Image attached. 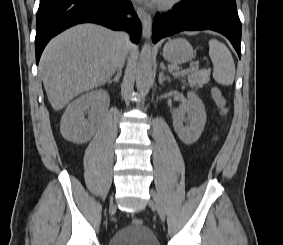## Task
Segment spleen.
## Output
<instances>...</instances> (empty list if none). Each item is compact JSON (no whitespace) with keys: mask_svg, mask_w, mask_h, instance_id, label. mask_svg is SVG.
<instances>
[{"mask_svg":"<svg viewBox=\"0 0 283 245\" xmlns=\"http://www.w3.org/2000/svg\"><path fill=\"white\" fill-rule=\"evenodd\" d=\"M209 56L214 65L213 77L222 85H232L235 77V64L226 45L216 39L209 40Z\"/></svg>","mask_w":283,"mask_h":245,"instance_id":"obj_1","label":"spleen"}]
</instances>
